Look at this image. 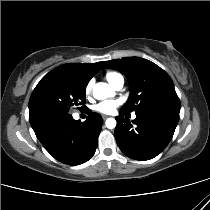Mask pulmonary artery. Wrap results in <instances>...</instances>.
Here are the masks:
<instances>
[{"label": "pulmonary artery", "mask_w": 210, "mask_h": 210, "mask_svg": "<svg viewBox=\"0 0 210 210\" xmlns=\"http://www.w3.org/2000/svg\"><path fill=\"white\" fill-rule=\"evenodd\" d=\"M123 85H124V79H123V77H120L114 82V84L112 86L116 90H120V89H122ZM135 117H136V115L133 116V118H135Z\"/></svg>", "instance_id": "1"}]
</instances>
